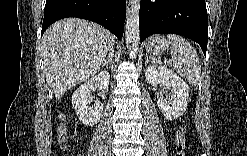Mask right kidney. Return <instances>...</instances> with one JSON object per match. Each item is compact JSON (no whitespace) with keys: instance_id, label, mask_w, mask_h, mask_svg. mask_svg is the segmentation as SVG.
Here are the masks:
<instances>
[{"instance_id":"1","label":"right kidney","mask_w":247,"mask_h":156,"mask_svg":"<svg viewBox=\"0 0 247 156\" xmlns=\"http://www.w3.org/2000/svg\"><path fill=\"white\" fill-rule=\"evenodd\" d=\"M109 80L110 75L108 71H101L74 91L71 99L72 105L78 119L84 125L93 126L99 122L103 105L100 101H96L94 106L90 105L93 99L92 92L95 87L100 90L106 89L109 85Z\"/></svg>"}]
</instances>
